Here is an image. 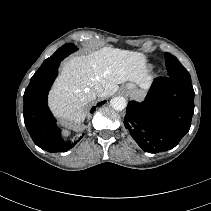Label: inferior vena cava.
<instances>
[{"mask_svg":"<svg viewBox=\"0 0 211 211\" xmlns=\"http://www.w3.org/2000/svg\"><path fill=\"white\" fill-rule=\"evenodd\" d=\"M94 92H95L97 95H101L102 92H103V88H102L100 85H95V86H94Z\"/></svg>","mask_w":211,"mask_h":211,"instance_id":"inferior-vena-cava-1","label":"inferior vena cava"}]
</instances>
